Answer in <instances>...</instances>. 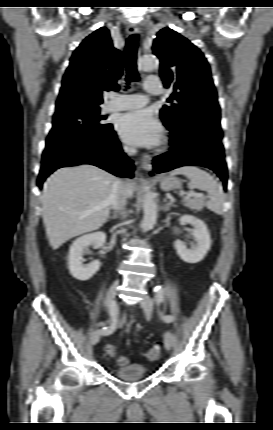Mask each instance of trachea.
<instances>
[{"label": "trachea", "instance_id": "obj_1", "mask_svg": "<svg viewBox=\"0 0 273 430\" xmlns=\"http://www.w3.org/2000/svg\"><path fill=\"white\" fill-rule=\"evenodd\" d=\"M137 40H138V35L132 34L128 38L127 43H126L125 67H126V71H127V76H126V84L127 85H129L130 82H132V81H138L139 80V76H138V72H137V64H136Z\"/></svg>", "mask_w": 273, "mask_h": 430}]
</instances>
